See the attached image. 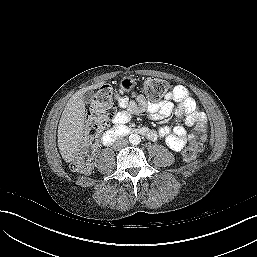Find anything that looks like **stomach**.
I'll return each instance as SVG.
<instances>
[{
    "mask_svg": "<svg viewBox=\"0 0 257 257\" xmlns=\"http://www.w3.org/2000/svg\"><path fill=\"white\" fill-rule=\"evenodd\" d=\"M136 86V80L132 76H125L120 81V88L122 91L129 92Z\"/></svg>",
    "mask_w": 257,
    "mask_h": 257,
    "instance_id": "stomach-1",
    "label": "stomach"
}]
</instances>
